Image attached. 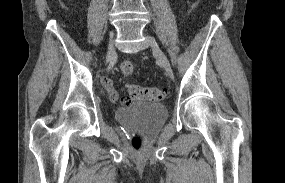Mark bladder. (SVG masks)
<instances>
[{
	"mask_svg": "<svg viewBox=\"0 0 285 183\" xmlns=\"http://www.w3.org/2000/svg\"><path fill=\"white\" fill-rule=\"evenodd\" d=\"M115 118L125 125H132L144 132L158 130L167 118V109L163 104L138 102L119 107Z\"/></svg>",
	"mask_w": 285,
	"mask_h": 183,
	"instance_id": "31cf9c89",
	"label": "bladder"
}]
</instances>
